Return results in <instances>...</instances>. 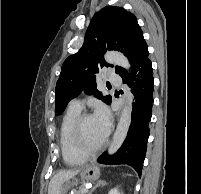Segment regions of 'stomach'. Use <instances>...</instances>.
I'll list each match as a JSON object with an SVG mask.
<instances>
[{"instance_id":"obj_1","label":"stomach","mask_w":201,"mask_h":194,"mask_svg":"<svg viewBox=\"0 0 201 194\" xmlns=\"http://www.w3.org/2000/svg\"><path fill=\"white\" fill-rule=\"evenodd\" d=\"M100 177V169L96 164L86 165L80 172V178L82 181H96ZM75 185L74 180L66 181L61 186L59 194H67V192Z\"/></svg>"}]
</instances>
